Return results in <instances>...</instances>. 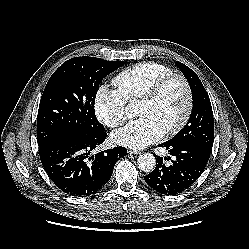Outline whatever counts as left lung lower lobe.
<instances>
[{
	"instance_id": "0a47b994",
	"label": "left lung lower lobe",
	"mask_w": 249,
	"mask_h": 249,
	"mask_svg": "<svg viewBox=\"0 0 249 249\" xmlns=\"http://www.w3.org/2000/svg\"><path fill=\"white\" fill-rule=\"evenodd\" d=\"M160 146L168 150L170 156L164 160H171V164L166 165L163 157H157L156 168L145 176V182L158 193L177 195L199 178L208 162L210 152L194 144L171 140Z\"/></svg>"
}]
</instances>
